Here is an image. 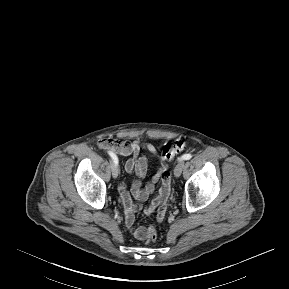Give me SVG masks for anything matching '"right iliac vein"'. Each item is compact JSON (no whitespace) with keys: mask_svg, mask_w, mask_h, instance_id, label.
<instances>
[{"mask_svg":"<svg viewBox=\"0 0 289 289\" xmlns=\"http://www.w3.org/2000/svg\"><path fill=\"white\" fill-rule=\"evenodd\" d=\"M111 170H112V176L113 178H117L119 175V169L118 166L114 163L111 164Z\"/></svg>","mask_w":289,"mask_h":289,"instance_id":"obj_1","label":"right iliac vein"}]
</instances>
